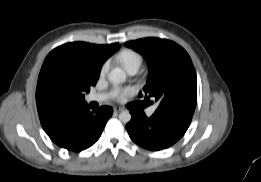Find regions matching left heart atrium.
<instances>
[{"instance_id": "1", "label": "left heart atrium", "mask_w": 261, "mask_h": 182, "mask_svg": "<svg viewBox=\"0 0 261 182\" xmlns=\"http://www.w3.org/2000/svg\"><path fill=\"white\" fill-rule=\"evenodd\" d=\"M130 93V90H116L114 96L117 100H124L125 97Z\"/></svg>"}]
</instances>
